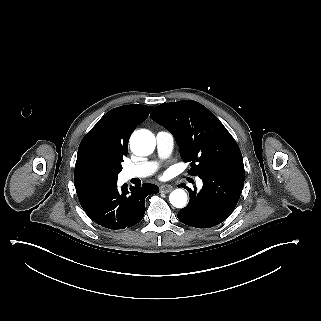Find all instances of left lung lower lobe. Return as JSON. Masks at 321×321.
Returning a JSON list of instances; mask_svg holds the SVG:
<instances>
[{
	"label": "left lung lower lobe",
	"mask_w": 321,
	"mask_h": 321,
	"mask_svg": "<svg viewBox=\"0 0 321 321\" xmlns=\"http://www.w3.org/2000/svg\"><path fill=\"white\" fill-rule=\"evenodd\" d=\"M203 188L191 190L189 204L178 212V219L192 227L208 228L223 222L234 210L243 186V161L221 163L198 174Z\"/></svg>",
	"instance_id": "0a47b994"
}]
</instances>
